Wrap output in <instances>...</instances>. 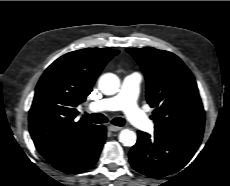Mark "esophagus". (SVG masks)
<instances>
[{
    "label": "esophagus",
    "mask_w": 230,
    "mask_h": 186,
    "mask_svg": "<svg viewBox=\"0 0 230 186\" xmlns=\"http://www.w3.org/2000/svg\"><path fill=\"white\" fill-rule=\"evenodd\" d=\"M121 129H122V127L115 126V125H109V126H108V130H109V131H112V132H116V131H119V130H121Z\"/></svg>",
    "instance_id": "1"
}]
</instances>
